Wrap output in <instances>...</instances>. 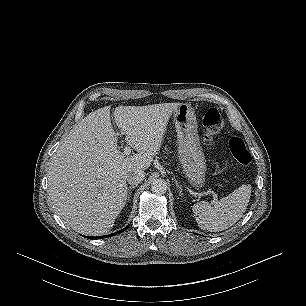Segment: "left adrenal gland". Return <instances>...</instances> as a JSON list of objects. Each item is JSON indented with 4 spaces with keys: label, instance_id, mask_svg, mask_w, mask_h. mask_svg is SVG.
Returning a JSON list of instances; mask_svg holds the SVG:
<instances>
[{
    "label": "left adrenal gland",
    "instance_id": "obj_1",
    "mask_svg": "<svg viewBox=\"0 0 306 306\" xmlns=\"http://www.w3.org/2000/svg\"><path fill=\"white\" fill-rule=\"evenodd\" d=\"M176 187L179 189V196L182 197L183 192H182V187L180 186V184L178 183V181L176 179H174Z\"/></svg>",
    "mask_w": 306,
    "mask_h": 306
}]
</instances>
